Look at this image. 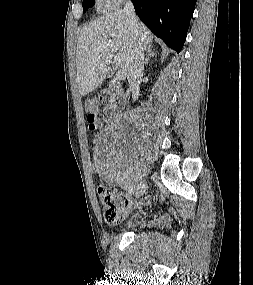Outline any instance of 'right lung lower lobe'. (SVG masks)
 Listing matches in <instances>:
<instances>
[{
    "instance_id": "obj_1",
    "label": "right lung lower lobe",
    "mask_w": 253,
    "mask_h": 285,
    "mask_svg": "<svg viewBox=\"0 0 253 285\" xmlns=\"http://www.w3.org/2000/svg\"><path fill=\"white\" fill-rule=\"evenodd\" d=\"M135 12L168 47L178 53L186 39L196 0H133Z\"/></svg>"
}]
</instances>
